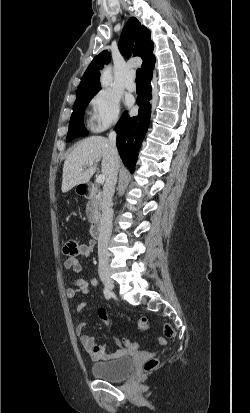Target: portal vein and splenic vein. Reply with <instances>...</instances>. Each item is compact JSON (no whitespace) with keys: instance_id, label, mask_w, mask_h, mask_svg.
I'll return each mask as SVG.
<instances>
[{"instance_id":"portal-vein-and-splenic-vein-1","label":"portal vein and splenic vein","mask_w":250,"mask_h":413,"mask_svg":"<svg viewBox=\"0 0 250 413\" xmlns=\"http://www.w3.org/2000/svg\"><path fill=\"white\" fill-rule=\"evenodd\" d=\"M94 163L93 162H90L89 164H87L88 166H91V165H93ZM104 181H105V176L104 175H99V176H97L96 177V182L97 183H104Z\"/></svg>"}]
</instances>
